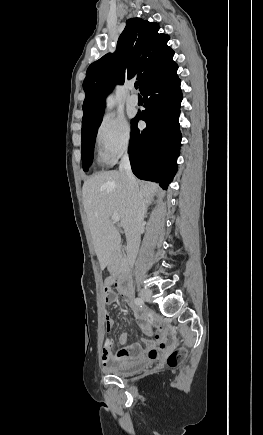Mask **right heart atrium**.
Instances as JSON below:
<instances>
[{
	"label": "right heart atrium",
	"instance_id": "obj_1",
	"mask_svg": "<svg viewBox=\"0 0 263 435\" xmlns=\"http://www.w3.org/2000/svg\"><path fill=\"white\" fill-rule=\"evenodd\" d=\"M99 158L105 164H113L124 156L130 147L131 132L128 122L113 114L105 115L95 134Z\"/></svg>",
	"mask_w": 263,
	"mask_h": 435
}]
</instances>
